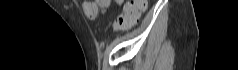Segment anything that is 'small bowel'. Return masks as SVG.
Wrapping results in <instances>:
<instances>
[{
  "label": "small bowel",
  "instance_id": "c3829d8e",
  "mask_svg": "<svg viewBox=\"0 0 238 70\" xmlns=\"http://www.w3.org/2000/svg\"><path fill=\"white\" fill-rule=\"evenodd\" d=\"M117 1L115 0L114 3ZM112 1L111 0H96V1H85L82 3L83 10L87 16H89L87 12L88 6H94L96 9H107L110 7ZM122 3V0L119 2V4Z\"/></svg>",
  "mask_w": 238,
  "mask_h": 70
}]
</instances>
